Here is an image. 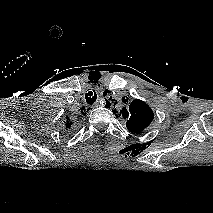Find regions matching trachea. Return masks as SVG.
I'll return each mask as SVG.
<instances>
[{"mask_svg": "<svg viewBox=\"0 0 213 213\" xmlns=\"http://www.w3.org/2000/svg\"><path fill=\"white\" fill-rule=\"evenodd\" d=\"M85 98H86V102H87L88 104L92 105V104L96 101L97 95H96L95 92H94V94H93L92 91H89V92L86 94Z\"/></svg>", "mask_w": 213, "mask_h": 213, "instance_id": "1", "label": "trachea"}]
</instances>
